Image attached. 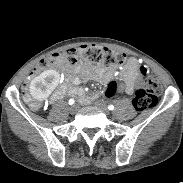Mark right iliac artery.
<instances>
[{
    "label": "right iliac artery",
    "mask_w": 183,
    "mask_h": 183,
    "mask_svg": "<svg viewBox=\"0 0 183 183\" xmlns=\"http://www.w3.org/2000/svg\"><path fill=\"white\" fill-rule=\"evenodd\" d=\"M74 102H75L74 99H70V100H69V104H70V105L74 104Z\"/></svg>",
    "instance_id": "right-iliac-artery-1"
}]
</instances>
